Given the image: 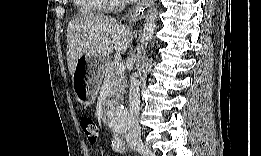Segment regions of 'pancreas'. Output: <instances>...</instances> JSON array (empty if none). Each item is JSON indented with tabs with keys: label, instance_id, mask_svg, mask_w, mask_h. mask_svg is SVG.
Segmentation results:
<instances>
[{
	"label": "pancreas",
	"instance_id": "1",
	"mask_svg": "<svg viewBox=\"0 0 261 156\" xmlns=\"http://www.w3.org/2000/svg\"><path fill=\"white\" fill-rule=\"evenodd\" d=\"M117 63L118 62L116 60H108L102 69V77L108 78L111 81L113 95L119 96L125 92V87H127V79L125 72L116 73L114 71V66Z\"/></svg>",
	"mask_w": 261,
	"mask_h": 156
}]
</instances>
